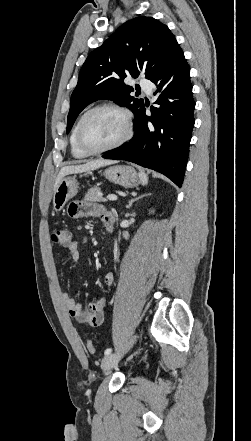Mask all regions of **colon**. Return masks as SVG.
<instances>
[{"instance_id":"obj_1","label":"colon","mask_w":251,"mask_h":441,"mask_svg":"<svg viewBox=\"0 0 251 441\" xmlns=\"http://www.w3.org/2000/svg\"><path fill=\"white\" fill-rule=\"evenodd\" d=\"M51 239L54 243L59 244L63 247H68L72 242L71 232L64 227L55 228L52 231ZM86 348L90 353L95 351L94 344L91 340L86 341Z\"/></svg>"}]
</instances>
